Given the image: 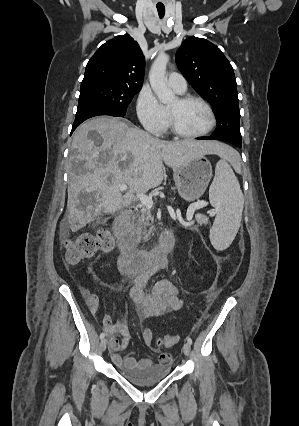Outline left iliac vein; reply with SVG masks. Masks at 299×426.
Segmentation results:
<instances>
[{
  "label": "left iliac vein",
  "instance_id": "left-iliac-vein-1",
  "mask_svg": "<svg viewBox=\"0 0 299 426\" xmlns=\"http://www.w3.org/2000/svg\"><path fill=\"white\" fill-rule=\"evenodd\" d=\"M190 351H191V346H190V344L187 342V343H185V344L183 345V352H184V354H185L186 356H189Z\"/></svg>",
  "mask_w": 299,
  "mask_h": 426
}]
</instances>
